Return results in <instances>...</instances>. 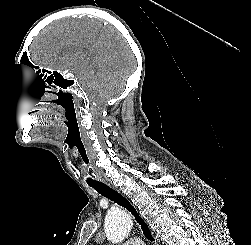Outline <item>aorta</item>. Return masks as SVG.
Instances as JSON below:
<instances>
[{"label":"aorta","mask_w":251,"mask_h":245,"mask_svg":"<svg viewBox=\"0 0 251 245\" xmlns=\"http://www.w3.org/2000/svg\"><path fill=\"white\" fill-rule=\"evenodd\" d=\"M132 225V220L126 212L111 210L105 219L106 236L113 243L122 242L129 235Z\"/></svg>","instance_id":"762f6f07"}]
</instances>
